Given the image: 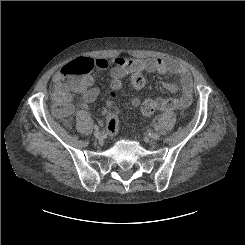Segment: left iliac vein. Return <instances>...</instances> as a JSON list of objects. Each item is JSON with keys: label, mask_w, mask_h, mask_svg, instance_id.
Wrapping results in <instances>:
<instances>
[{"label": "left iliac vein", "mask_w": 245, "mask_h": 245, "mask_svg": "<svg viewBox=\"0 0 245 245\" xmlns=\"http://www.w3.org/2000/svg\"><path fill=\"white\" fill-rule=\"evenodd\" d=\"M159 138H160L159 133H153V134L151 135V139H152V140H158Z\"/></svg>", "instance_id": "1"}]
</instances>
